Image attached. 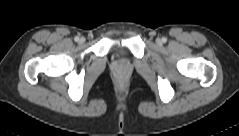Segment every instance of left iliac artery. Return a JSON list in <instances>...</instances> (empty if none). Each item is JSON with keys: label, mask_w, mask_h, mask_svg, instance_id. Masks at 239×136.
Masks as SVG:
<instances>
[{"label": "left iliac artery", "mask_w": 239, "mask_h": 136, "mask_svg": "<svg viewBox=\"0 0 239 136\" xmlns=\"http://www.w3.org/2000/svg\"><path fill=\"white\" fill-rule=\"evenodd\" d=\"M162 41H163V43H165V42L167 41V38H166V37H163V38H162Z\"/></svg>", "instance_id": "44dca946"}]
</instances>
